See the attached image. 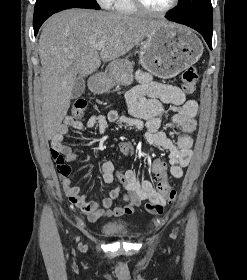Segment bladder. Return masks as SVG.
<instances>
[{
    "mask_svg": "<svg viewBox=\"0 0 247 280\" xmlns=\"http://www.w3.org/2000/svg\"><path fill=\"white\" fill-rule=\"evenodd\" d=\"M136 226L125 220H112L102 225L101 231L111 237H130Z\"/></svg>",
    "mask_w": 247,
    "mask_h": 280,
    "instance_id": "31cf9c89",
    "label": "bladder"
}]
</instances>
